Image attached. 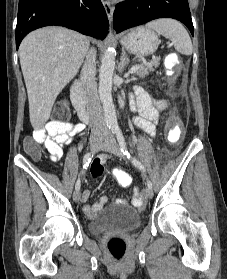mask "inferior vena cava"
Listing matches in <instances>:
<instances>
[{"label": "inferior vena cava", "instance_id": "obj_1", "mask_svg": "<svg viewBox=\"0 0 227 279\" xmlns=\"http://www.w3.org/2000/svg\"><path fill=\"white\" fill-rule=\"evenodd\" d=\"M96 50L91 49L81 71V82L88 97V111L93 135H106L108 129L102 114V108L96 83Z\"/></svg>", "mask_w": 227, "mask_h": 279}]
</instances>
